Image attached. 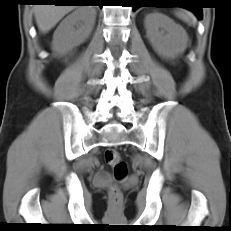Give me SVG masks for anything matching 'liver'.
<instances>
[{
  "label": "liver",
  "mask_w": 231,
  "mask_h": 231,
  "mask_svg": "<svg viewBox=\"0 0 231 231\" xmlns=\"http://www.w3.org/2000/svg\"><path fill=\"white\" fill-rule=\"evenodd\" d=\"M75 7L74 5H36L34 15L39 30L47 33Z\"/></svg>",
  "instance_id": "obj_1"
}]
</instances>
